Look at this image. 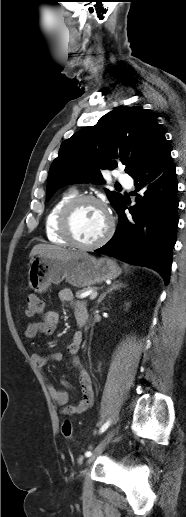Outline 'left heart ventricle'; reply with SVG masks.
I'll use <instances>...</instances> for the list:
<instances>
[{
	"label": "left heart ventricle",
	"instance_id": "1",
	"mask_svg": "<svg viewBox=\"0 0 186 517\" xmlns=\"http://www.w3.org/2000/svg\"><path fill=\"white\" fill-rule=\"evenodd\" d=\"M107 224L105 212L99 205L93 203L81 205L72 221L74 236L85 244L98 240L104 234Z\"/></svg>",
	"mask_w": 186,
	"mask_h": 517
}]
</instances>
